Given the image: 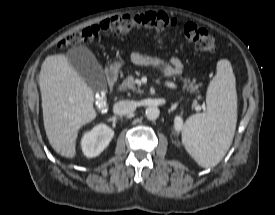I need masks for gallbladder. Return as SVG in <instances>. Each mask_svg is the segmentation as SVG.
Instances as JSON below:
<instances>
[{
	"instance_id": "obj_1",
	"label": "gallbladder",
	"mask_w": 275,
	"mask_h": 215,
	"mask_svg": "<svg viewBox=\"0 0 275 215\" xmlns=\"http://www.w3.org/2000/svg\"><path fill=\"white\" fill-rule=\"evenodd\" d=\"M66 58L91 89L94 91L105 89L102 68L94 54L87 47L78 46L69 49Z\"/></svg>"
}]
</instances>
